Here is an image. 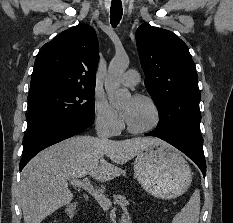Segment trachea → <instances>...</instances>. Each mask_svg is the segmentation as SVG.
<instances>
[{"label":"trachea","instance_id":"1","mask_svg":"<svg viewBox=\"0 0 233 223\" xmlns=\"http://www.w3.org/2000/svg\"><path fill=\"white\" fill-rule=\"evenodd\" d=\"M122 18V3L111 2L110 21L112 26L118 25Z\"/></svg>","mask_w":233,"mask_h":223}]
</instances>
